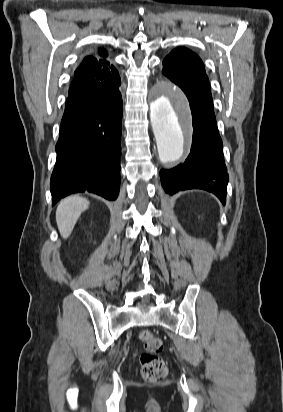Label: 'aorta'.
<instances>
[{
	"label": "aorta",
	"mask_w": 283,
	"mask_h": 412,
	"mask_svg": "<svg viewBox=\"0 0 283 412\" xmlns=\"http://www.w3.org/2000/svg\"><path fill=\"white\" fill-rule=\"evenodd\" d=\"M150 118L162 163L180 159L189 133L190 113L184 94L163 86L150 105Z\"/></svg>",
	"instance_id": "762f6f07"
}]
</instances>
